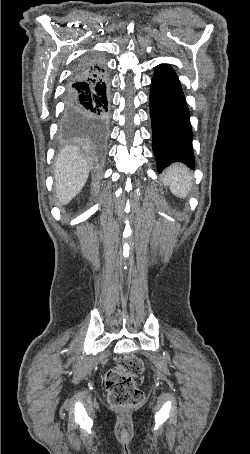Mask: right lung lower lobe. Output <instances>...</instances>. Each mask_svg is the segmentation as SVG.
Segmentation results:
<instances>
[{
  "mask_svg": "<svg viewBox=\"0 0 250 454\" xmlns=\"http://www.w3.org/2000/svg\"><path fill=\"white\" fill-rule=\"evenodd\" d=\"M64 102L63 125L83 142L102 148L109 125V82L101 55L89 52L77 62Z\"/></svg>",
  "mask_w": 250,
  "mask_h": 454,
  "instance_id": "right-lung-lower-lobe-1",
  "label": "right lung lower lobe"
}]
</instances>
